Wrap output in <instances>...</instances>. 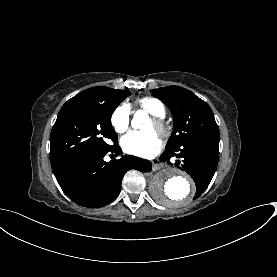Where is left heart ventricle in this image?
<instances>
[{"instance_id": "b2bd125f", "label": "left heart ventricle", "mask_w": 277, "mask_h": 277, "mask_svg": "<svg viewBox=\"0 0 277 277\" xmlns=\"http://www.w3.org/2000/svg\"><path fill=\"white\" fill-rule=\"evenodd\" d=\"M145 130H148V131L154 130V125H153V122H152L151 119H150V121L148 122V124L146 125Z\"/></svg>"}]
</instances>
